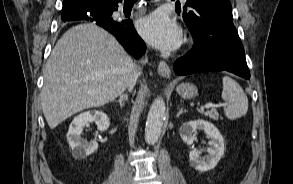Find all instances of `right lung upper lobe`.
Returning <instances> with one entry per match:
<instances>
[{
	"label": "right lung upper lobe",
	"mask_w": 293,
	"mask_h": 184,
	"mask_svg": "<svg viewBox=\"0 0 293 184\" xmlns=\"http://www.w3.org/2000/svg\"><path fill=\"white\" fill-rule=\"evenodd\" d=\"M83 1L90 2V5H84ZM118 0H63L62 19L69 18L94 7L106 6L115 3Z\"/></svg>",
	"instance_id": "1"
}]
</instances>
